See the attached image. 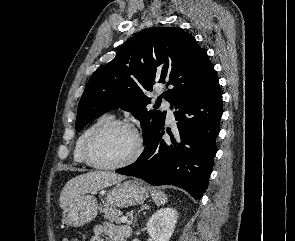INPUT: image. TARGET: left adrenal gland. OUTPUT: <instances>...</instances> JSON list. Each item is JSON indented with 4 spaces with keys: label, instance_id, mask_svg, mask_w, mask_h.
<instances>
[{
    "label": "left adrenal gland",
    "instance_id": "1",
    "mask_svg": "<svg viewBox=\"0 0 295 241\" xmlns=\"http://www.w3.org/2000/svg\"><path fill=\"white\" fill-rule=\"evenodd\" d=\"M150 208V206L149 205H146V204H144V205H142L141 206V208H140V210L138 211V213L135 215V217L133 218V226L135 225V222H136V220H137V216H138V214L141 212V211H143V210H147V209H149Z\"/></svg>",
    "mask_w": 295,
    "mask_h": 241
}]
</instances>
